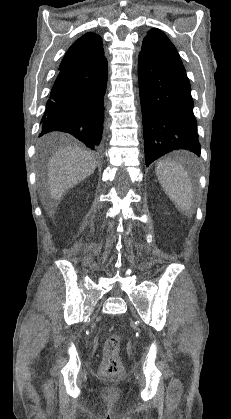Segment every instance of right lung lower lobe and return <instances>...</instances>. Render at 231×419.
I'll use <instances>...</instances> for the list:
<instances>
[{
    "label": "right lung lower lobe",
    "instance_id": "1",
    "mask_svg": "<svg viewBox=\"0 0 231 419\" xmlns=\"http://www.w3.org/2000/svg\"><path fill=\"white\" fill-rule=\"evenodd\" d=\"M107 69L106 59L95 64L59 69L46 103L39 136L52 131L66 132L99 152Z\"/></svg>",
    "mask_w": 231,
    "mask_h": 419
}]
</instances>
